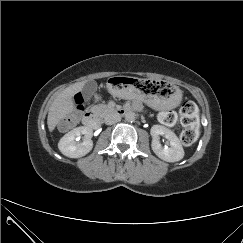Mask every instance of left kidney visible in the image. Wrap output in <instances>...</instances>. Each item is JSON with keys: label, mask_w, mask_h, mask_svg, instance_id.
I'll return each instance as SVG.
<instances>
[{"label": "left kidney", "mask_w": 243, "mask_h": 243, "mask_svg": "<svg viewBox=\"0 0 243 243\" xmlns=\"http://www.w3.org/2000/svg\"><path fill=\"white\" fill-rule=\"evenodd\" d=\"M152 150L162 160L166 162H177L184 157V150L179 138L174 132L162 125H153L151 128ZM159 135L164 136L170 147H162L159 142Z\"/></svg>", "instance_id": "obj_1"}]
</instances>
